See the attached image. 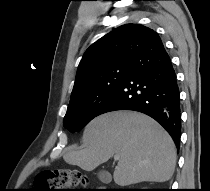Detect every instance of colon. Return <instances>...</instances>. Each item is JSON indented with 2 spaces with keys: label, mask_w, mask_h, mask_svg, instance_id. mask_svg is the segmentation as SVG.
<instances>
[{
  "label": "colon",
  "mask_w": 210,
  "mask_h": 191,
  "mask_svg": "<svg viewBox=\"0 0 210 191\" xmlns=\"http://www.w3.org/2000/svg\"><path fill=\"white\" fill-rule=\"evenodd\" d=\"M86 184L87 179L79 171L62 169L38 175L35 179L34 191H84V189H78V186Z\"/></svg>",
  "instance_id": "colon-1"
}]
</instances>
